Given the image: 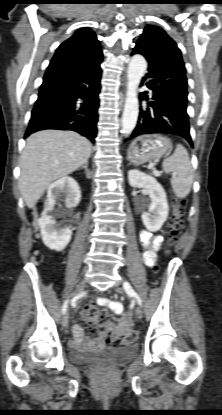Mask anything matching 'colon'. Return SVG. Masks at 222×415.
I'll use <instances>...</instances> for the list:
<instances>
[{
    "label": "colon",
    "mask_w": 222,
    "mask_h": 415,
    "mask_svg": "<svg viewBox=\"0 0 222 415\" xmlns=\"http://www.w3.org/2000/svg\"><path fill=\"white\" fill-rule=\"evenodd\" d=\"M186 201L179 199L176 201L174 218L170 223L168 244H176L178 237L184 227V214ZM82 317L86 327L94 334H103L113 345H120L127 342H135L139 338L138 330H123L105 320L102 313L94 306L85 307Z\"/></svg>",
    "instance_id": "1"
}]
</instances>
